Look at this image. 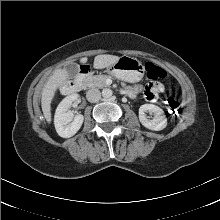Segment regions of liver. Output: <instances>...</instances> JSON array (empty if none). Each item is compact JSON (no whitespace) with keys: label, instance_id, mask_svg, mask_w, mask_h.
Masks as SVG:
<instances>
[{"label":"liver","instance_id":"obj_1","mask_svg":"<svg viewBox=\"0 0 220 220\" xmlns=\"http://www.w3.org/2000/svg\"><path fill=\"white\" fill-rule=\"evenodd\" d=\"M120 57L109 54L97 55L94 58L93 67L95 69H104L113 65ZM87 58L80 59L82 64L87 62ZM69 73L66 68H58L53 75L49 77L47 83L44 85L41 97V107L44 118L48 123L51 122V102L54 98L55 92L67 83Z\"/></svg>","mask_w":220,"mask_h":220}]
</instances>
